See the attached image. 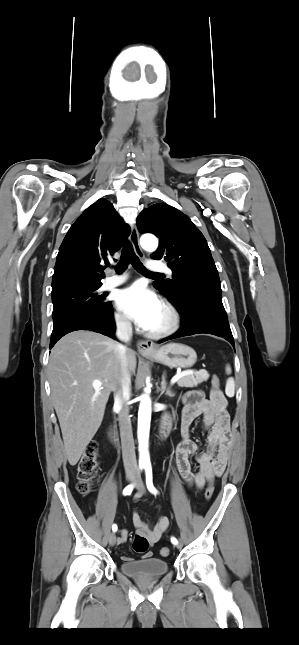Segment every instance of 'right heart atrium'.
Returning a JSON list of instances; mask_svg holds the SVG:
<instances>
[{"mask_svg":"<svg viewBox=\"0 0 299 645\" xmlns=\"http://www.w3.org/2000/svg\"><path fill=\"white\" fill-rule=\"evenodd\" d=\"M113 317H114V322L118 328L120 329L130 328V325H131L130 320L125 314L121 312H115Z\"/></svg>","mask_w":299,"mask_h":645,"instance_id":"right-heart-atrium-1","label":"right heart atrium"}]
</instances>
